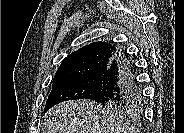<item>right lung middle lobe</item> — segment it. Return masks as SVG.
Returning <instances> with one entry per match:
<instances>
[{"mask_svg": "<svg viewBox=\"0 0 184 133\" xmlns=\"http://www.w3.org/2000/svg\"><path fill=\"white\" fill-rule=\"evenodd\" d=\"M103 74L96 73L81 77L63 78L53 81L44 112L54 105L75 99H93L103 86ZM109 115L136 117L139 115L142 101L133 104L115 105L112 103L98 104Z\"/></svg>", "mask_w": 184, "mask_h": 133, "instance_id": "right-lung-middle-lobe-1", "label": "right lung middle lobe"}]
</instances>
